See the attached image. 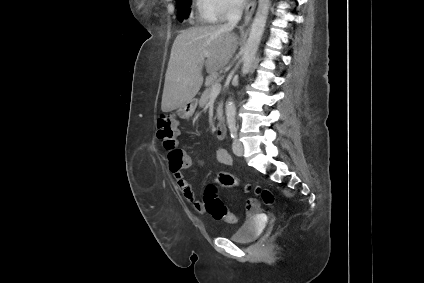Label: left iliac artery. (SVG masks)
Returning a JSON list of instances; mask_svg holds the SVG:
<instances>
[{
    "mask_svg": "<svg viewBox=\"0 0 424 283\" xmlns=\"http://www.w3.org/2000/svg\"><path fill=\"white\" fill-rule=\"evenodd\" d=\"M229 129H230L231 137L233 139H236L237 138V130H238L237 125L232 124V125L229 126Z\"/></svg>",
    "mask_w": 424,
    "mask_h": 283,
    "instance_id": "44dca946",
    "label": "left iliac artery"
}]
</instances>
